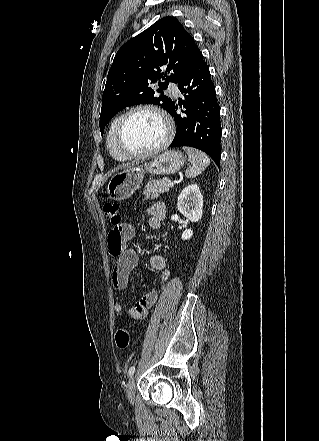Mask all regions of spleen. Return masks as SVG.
<instances>
[{"label":"spleen","mask_w":319,"mask_h":441,"mask_svg":"<svg viewBox=\"0 0 319 441\" xmlns=\"http://www.w3.org/2000/svg\"><path fill=\"white\" fill-rule=\"evenodd\" d=\"M189 157L190 165L185 171L188 178L197 177L210 164L209 157L202 151L194 148L183 147Z\"/></svg>","instance_id":"3e777b00"}]
</instances>
